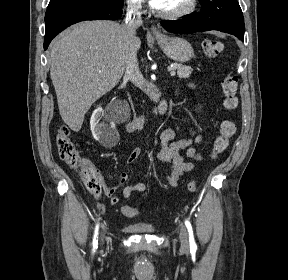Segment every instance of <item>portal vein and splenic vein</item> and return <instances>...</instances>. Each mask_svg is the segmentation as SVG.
I'll use <instances>...</instances> for the list:
<instances>
[{
	"label": "portal vein and splenic vein",
	"instance_id": "portal-vein-and-splenic-vein-1",
	"mask_svg": "<svg viewBox=\"0 0 288 280\" xmlns=\"http://www.w3.org/2000/svg\"><path fill=\"white\" fill-rule=\"evenodd\" d=\"M169 70H170L171 76H174V75H175V69H173V68L171 67V68H169Z\"/></svg>",
	"mask_w": 288,
	"mask_h": 280
}]
</instances>
